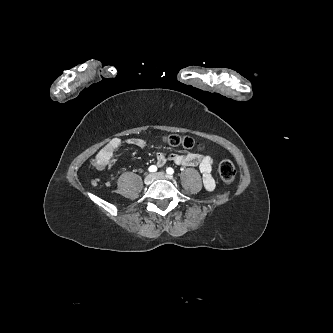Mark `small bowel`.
<instances>
[{"instance_id":"c3829d8e","label":"small bowel","mask_w":333,"mask_h":333,"mask_svg":"<svg viewBox=\"0 0 333 333\" xmlns=\"http://www.w3.org/2000/svg\"><path fill=\"white\" fill-rule=\"evenodd\" d=\"M126 143L132 146L144 148L146 146V141L141 138H129ZM122 145V140L120 138H113L110 143L104 147L95 157L96 162H100L104 165L113 163V152L120 148ZM168 161H172L177 165L181 166H192L198 167L201 174L203 185L206 190L211 191L215 188V180L212 175L214 168V160L211 156L198 154V153H175V154H164L159 153L157 155V165L163 166Z\"/></svg>"}]
</instances>
